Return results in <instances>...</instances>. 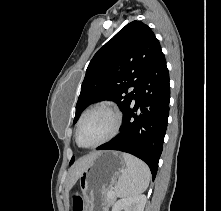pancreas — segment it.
<instances>
[{
    "label": "pancreas",
    "mask_w": 221,
    "mask_h": 211,
    "mask_svg": "<svg viewBox=\"0 0 221 211\" xmlns=\"http://www.w3.org/2000/svg\"><path fill=\"white\" fill-rule=\"evenodd\" d=\"M111 190V188H109L106 192V197H105V202L107 205H112L115 201V198L114 197H110L108 196V192Z\"/></svg>",
    "instance_id": "cf45deb5"
}]
</instances>
